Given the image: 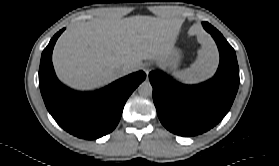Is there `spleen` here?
<instances>
[{
	"instance_id": "spleen-1",
	"label": "spleen",
	"mask_w": 279,
	"mask_h": 166,
	"mask_svg": "<svg viewBox=\"0 0 279 166\" xmlns=\"http://www.w3.org/2000/svg\"><path fill=\"white\" fill-rule=\"evenodd\" d=\"M196 61L190 68L179 71L177 75L185 82L194 83L211 77L218 66V51L213 41L208 37L200 40Z\"/></svg>"
}]
</instances>
